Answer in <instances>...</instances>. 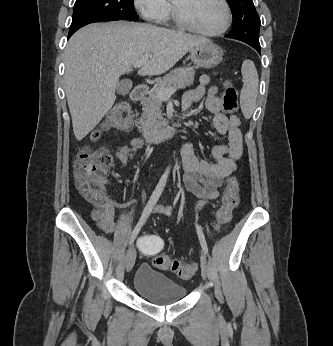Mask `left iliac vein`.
Returning a JSON list of instances; mask_svg holds the SVG:
<instances>
[{
  "mask_svg": "<svg viewBox=\"0 0 333 346\" xmlns=\"http://www.w3.org/2000/svg\"><path fill=\"white\" fill-rule=\"evenodd\" d=\"M200 266H201L202 276L204 278H206L207 274H208V263H207V259H206L205 255L203 253H201V255H200Z\"/></svg>",
  "mask_w": 333,
  "mask_h": 346,
  "instance_id": "obj_1",
  "label": "left iliac vein"
}]
</instances>
